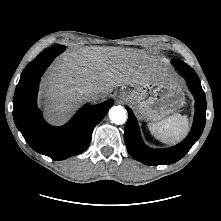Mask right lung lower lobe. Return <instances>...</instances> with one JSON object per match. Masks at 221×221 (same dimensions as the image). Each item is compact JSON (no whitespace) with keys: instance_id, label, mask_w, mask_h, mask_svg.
Instances as JSON below:
<instances>
[{"instance_id":"1","label":"right lung lower lobe","mask_w":221,"mask_h":221,"mask_svg":"<svg viewBox=\"0 0 221 221\" xmlns=\"http://www.w3.org/2000/svg\"><path fill=\"white\" fill-rule=\"evenodd\" d=\"M64 49L51 47L31 61L21 74L13 99L14 121L26 142L38 153L54 160H63L85 151L93 129L113 105V100L109 99L84 107L61 127H52L44 121L36 103L40 77Z\"/></svg>"}]
</instances>
